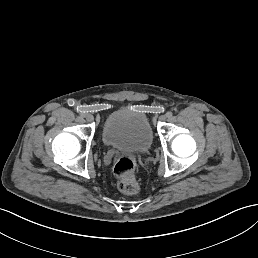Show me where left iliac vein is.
<instances>
[{
	"label": "left iliac vein",
	"instance_id": "obj_1",
	"mask_svg": "<svg viewBox=\"0 0 258 258\" xmlns=\"http://www.w3.org/2000/svg\"><path fill=\"white\" fill-rule=\"evenodd\" d=\"M159 119H160V121H162V122H163V121H165V120H166V117L162 115V116H160V118H159Z\"/></svg>",
	"mask_w": 258,
	"mask_h": 258
}]
</instances>
